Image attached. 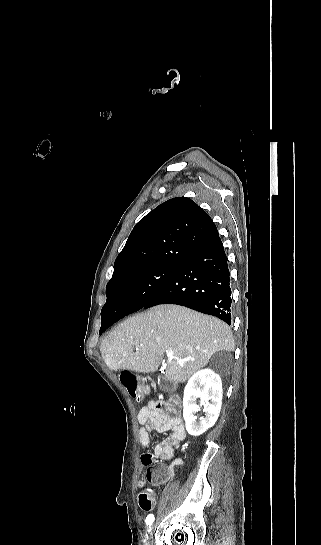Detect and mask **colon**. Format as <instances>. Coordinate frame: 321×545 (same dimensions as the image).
<instances>
[{
	"label": "colon",
	"instance_id": "colon-1",
	"mask_svg": "<svg viewBox=\"0 0 321 545\" xmlns=\"http://www.w3.org/2000/svg\"><path fill=\"white\" fill-rule=\"evenodd\" d=\"M122 385L125 387L130 396L136 400H141L144 392V388L140 383L137 376L129 371H121L119 375ZM161 472L156 474V478L161 476ZM138 501L140 507L149 511L152 510L155 505V495L149 488H144L139 492Z\"/></svg>",
	"mask_w": 321,
	"mask_h": 545
}]
</instances>
